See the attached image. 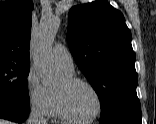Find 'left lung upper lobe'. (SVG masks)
I'll return each mask as SVG.
<instances>
[{"label": "left lung upper lobe", "mask_w": 156, "mask_h": 124, "mask_svg": "<svg viewBox=\"0 0 156 124\" xmlns=\"http://www.w3.org/2000/svg\"><path fill=\"white\" fill-rule=\"evenodd\" d=\"M69 49L99 96L100 121H141L131 32L106 0L77 5L68 14Z\"/></svg>", "instance_id": "obj_1"}]
</instances>
